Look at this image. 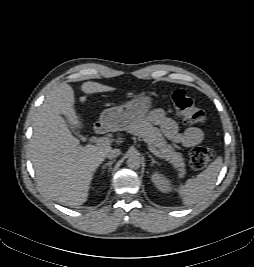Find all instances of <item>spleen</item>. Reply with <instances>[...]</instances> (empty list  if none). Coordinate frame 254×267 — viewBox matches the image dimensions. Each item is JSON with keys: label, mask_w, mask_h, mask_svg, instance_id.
Masks as SVG:
<instances>
[{"label": "spleen", "mask_w": 254, "mask_h": 267, "mask_svg": "<svg viewBox=\"0 0 254 267\" xmlns=\"http://www.w3.org/2000/svg\"><path fill=\"white\" fill-rule=\"evenodd\" d=\"M221 168L222 158L218 157L196 178L188 179L184 185L180 184L178 193L182 197L183 204L189 206L206 197L214 188Z\"/></svg>", "instance_id": "spleen-1"}]
</instances>
